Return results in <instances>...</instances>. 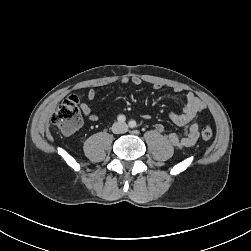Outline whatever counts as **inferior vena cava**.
Returning a JSON list of instances; mask_svg holds the SVG:
<instances>
[{
    "instance_id": "1",
    "label": "inferior vena cava",
    "mask_w": 251,
    "mask_h": 251,
    "mask_svg": "<svg viewBox=\"0 0 251 251\" xmlns=\"http://www.w3.org/2000/svg\"><path fill=\"white\" fill-rule=\"evenodd\" d=\"M124 128H125V131H126L128 127L126 125H124Z\"/></svg>"
}]
</instances>
